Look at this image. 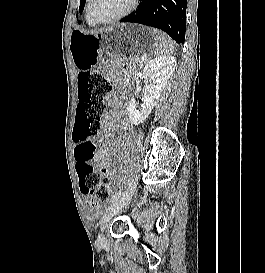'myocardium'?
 I'll return each mask as SVG.
<instances>
[{"label": "myocardium", "mask_w": 265, "mask_h": 273, "mask_svg": "<svg viewBox=\"0 0 265 273\" xmlns=\"http://www.w3.org/2000/svg\"><path fill=\"white\" fill-rule=\"evenodd\" d=\"M93 2H94V0H88V2H87L86 13H87L88 18L96 24H107V23H113V22L119 21V20L129 16L137 8L139 0H132V3L128 9H126L124 12H122L114 17L107 18V19H99V18H96L93 16V14H92Z\"/></svg>", "instance_id": "1"}]
</instances>
